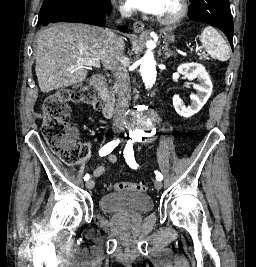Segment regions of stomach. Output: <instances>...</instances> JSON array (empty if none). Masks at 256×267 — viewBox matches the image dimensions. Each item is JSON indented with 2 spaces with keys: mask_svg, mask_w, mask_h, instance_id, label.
<instances>
[{
  "mask_svg": "<svg viewBox=\"0 0 256 267\" xmlns=\"http://www.w3.org/2000/svg\"><path fill=\"white\" fill-rule=\"evenodd\" d=\"M164 38L167 42H174L175 40V36H173V34H169V32H165Z\"/></svg>",
  "mask_w": 256,
  "mask_h": 267,
  "instance_id": "stomach-1",
  "label": "stomach"
}]
</instances>
